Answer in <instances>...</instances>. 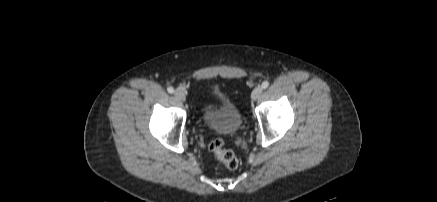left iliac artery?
Instances as JSON below:
<instances>
[{"instance_id": "1", "label": "left iliac artery", "mask_w": 437, "mask_h": 202, "mask_svg": "<svg viewBox=\"0 0 437 202\" xmlns=\"http://www.w3.org/2000/svg\"><path fill=\"white\" fill-rule=\"evenodd\" d=\"M268 86H269V82H268V81H264V82L262 83V88H263V89H266Z\"/></svg>"}]
</instances>
